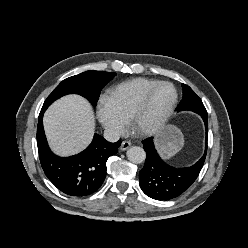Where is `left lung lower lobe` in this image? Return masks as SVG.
Here are the masks:
<instances>
[{
    "label": "left lung lower lobe",
    "instance_id": "left-lung-lower-lobe-1",
    "mask_svg": "<svg viewBox=\"0 0 248 248\" xmlns=\"http://www.w3.org/2000/svg\"><path fill=\"white\" fill-rule=\"evenodd\" d=\"M205 123V153L193 166L176 168L166 164L155 150L153 138L143 141L146 151L144 167L139 172V183L142 191L156 200H169L181 195L198 177L207 152L208 115L199 113Z\"/></svg>",
    "mask_w": 248,
    "mask_h": 248
}]
</instances>
